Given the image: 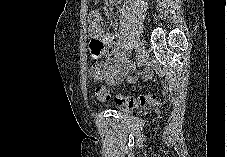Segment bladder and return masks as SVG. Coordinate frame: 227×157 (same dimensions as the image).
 <instances>
[{"mask_svg":"<svg viewBox=\"0 0 227 157\" xmlns=\"http://www.w3.org/2000/svg\"><path fill=\"white\" fill-rule=\"evenodd\" d=\"M120 112L123 113V114H131L132 113V110L131 109L123 108V109H120Z\"/></svg>","mask_w":227,"mask_h":157,"instance_id":"obj_1","label":"bladder"}]
</instances>
